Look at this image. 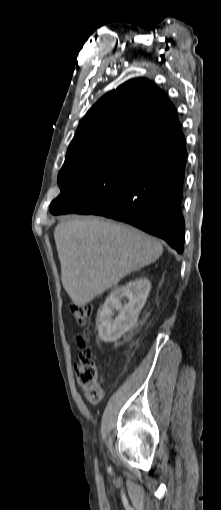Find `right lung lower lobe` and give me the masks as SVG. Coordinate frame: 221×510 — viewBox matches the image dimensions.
<instances>
[{
    "mask_svg": "<svg viewBox=\"0 0 221 510\" xmlns=\"http://www.w3.org/2000/svg\"><path fill=\"white\" fill-rule=\"evenodd\" d=\"M187 159L184 135L150 150L126 189L109 203L71 213L94 214L129 223L184 249L181 212Z\"/></svg>",
    "mask_w": 221,
    "mask_h": 510,
    "instance_id": "right-lung-lower-lobe-1",
    "label": "right lung lower lobe"
}]
</instances>
